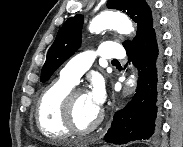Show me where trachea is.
I'll list each match as a JSON object with an SVG mask.
<instances>
[{
  "instance_id": "obj_1",
  "label": "trachea",
  "mask_w": 183,
  "mask_h": 147,
  "mask_svg": "<svg viewBox=\"0 0 183 147\" xmlns=\"http://www.w3.org/2000/svg\"><path fill=\"white\" fill-rule=\"evenodd\" d=\"M112 62H118V60L114 59V60H112Z\"/></svg>"
}]
</instances>
